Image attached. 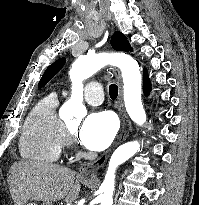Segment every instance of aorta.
<instances>
[{"instance_id":"1","label":"aorta","mask_w":199,"mask_h":205,"mask_svg":"<svg viewBox=\"0 0 199 205\" xmlns=\"http://www.w3.org/2000/svg\"><path fill=\"white\" fill-rule=\"evenodd\" d=\"M111 64L120 68L123 78V94L126 111L130 118L138 125L146 122V113L141 101L142 77L140 68L135 59L124 53L87 54L78 57L70 69L72 94L65 103L64 109L74 117L81 118L85 112L83 106L82 82L91 77L104 66ZM140 151V144L132 141L119 146L112 154L108 169L101 184L103 194L100 205L113 204L115 172L119 165Z\"/></svg>"}]
</instances>
